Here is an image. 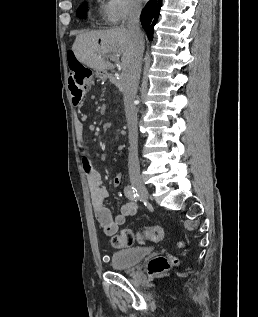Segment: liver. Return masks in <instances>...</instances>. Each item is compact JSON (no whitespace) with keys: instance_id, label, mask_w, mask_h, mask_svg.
Returning <instances> with one entry per match:
<instances>
[{"instance_id":"obj_1","label":"liver","mask_w":258,"mask_h":317,"mask_svg":"<svg viewBox=\"0 0 258 317\" xmlns=\"http://www.w3.org/2000/svg\"><path fill=\"white\" fill-rule=\"evenodd\" d=\"M72 50L79 62L87 64L95 70L115 68L112 62L106 60L108 52L122 54L121 68L128 70L134 54L131 34L127 28H110V30H89L77 34Z\"/></svg>"}]
</instances>
